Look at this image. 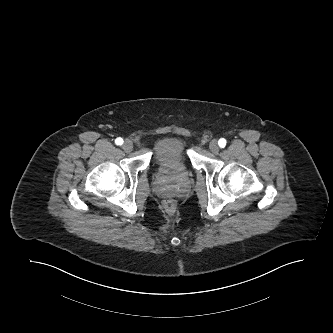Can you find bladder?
I'll return each mask as SVG.
<instances>
[{"label": "bladder", "mask_w": 333, "mask_h": 333, "mask_svg": "<svg viewBox=\"0 0 333 333\" xmlns=\"http://www.w3.org/2000/svg\"><path fill=\"white\" fill-rule=\"evenodd\" d=\"M154 157L159 168H167L185 160L186 144L181 138L164 136L156 143Z\"/></svg>", "instance_id": "obj_1"}]
</instances>
